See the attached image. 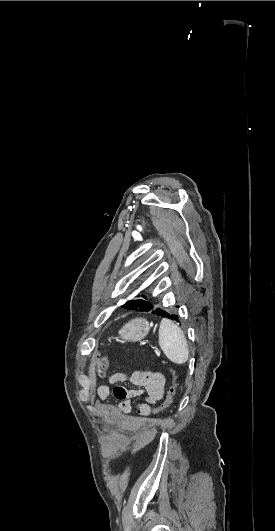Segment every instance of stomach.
<instances>
[{
    "label": "stomach",
    "instance_id": "1",
    "mask_svg": "<svg viewBox=\"0 0 275 531\" xmlns=\"http://www.w3.org/2000/svg\"><path fill=\"white\" fill-rule=\"evenodd\" d=\"M151 327L152 323H148L147 319H132L121 327L117 341H141L148 335Z\"/></svg>",
    "mask_w": 275,
    "mask_h": 531
}]
</instances>
